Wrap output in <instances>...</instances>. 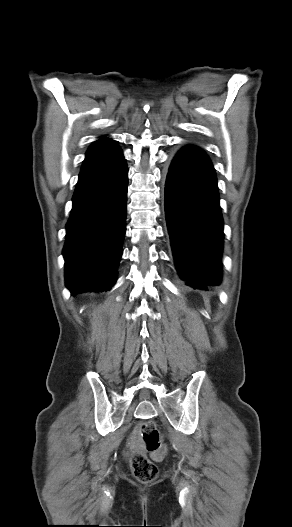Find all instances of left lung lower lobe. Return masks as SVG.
I'll return each instance as SVG.
<instances>
[{"instance_id":"obj_1","label":"left lung lower lobe","mask_w":292,"mask_h":527,"mask_svg":"<svg viewBox=\"0 0 292 527\" xmlns=\"http://www.w3.org/2000/svg\"><path fill=\"white\" fill-rule=\"evenodd\" d=\"M165 212L182 279L194 288L217 285L223 220L215 171L200 148L186 146L172 160L165 186Z\"/></svg>"}]
</instances>
